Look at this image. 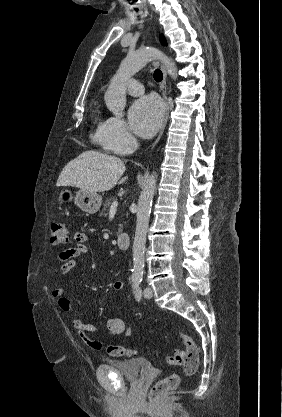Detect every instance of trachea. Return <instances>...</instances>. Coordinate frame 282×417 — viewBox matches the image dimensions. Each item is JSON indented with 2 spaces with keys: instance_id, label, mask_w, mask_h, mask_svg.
<instances>
[{
  "instance_id": "3493384b",
  "label": "trachea",
  "mask_w": 282,
  "mask_h": 417,
  "mask_svg": "<svg viewBox=\"0 0 282 417\" xmlns=\"http://www.w3.org/2000/svg\"><path fill=\"white\" fill-rule=\"evenodd\" d=\"M153 77H154V80H156V82H161L163 79V73L161 72V70L156 69L154 71Z\"/></svg>"
}]
</instances>
